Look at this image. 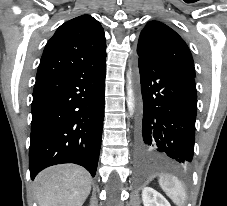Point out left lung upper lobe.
<instances>
[{
	"label": "left lung upper lobe",
	"mask_w": 227,
	"mask_h": 206,
	"mask_svg": "<svg viewBox=\"0 0 227 206\" xmlns=\"http://www.w3.org/2000/svg\"><path fill=\"white\" fill-rule=\"evenodd\" d=\"M139 59L183 71L195 77L192 55L183 39L159 21L142 30L137 47Z\"/></svg>",
	"instance_id": "obj_1"
}]
</instances>
